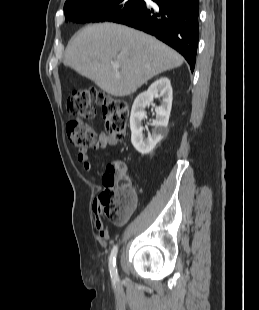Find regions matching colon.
<instances>
[{"label":"colon","mask_w":259,"mask_h":310,"mask_svg":"<svg viewBox=\"0 0 259 310\" xmlns=\"http://www.w3.org/2000/svg\"><path fill=\"white\" fill-rule=\"evenodd\" d=\"M98 106L102 109L107 134L115 139H121L125 135L129 116L128 103L93 88H81L73 91L67 101L69 119L66 131L73 145L85 148L98 144V136L89 122L95 116ZM102 181L104 189L96 199V206L105 219L121 225L137 202L124 165L120 162L109 164Z\"/></svg>","instance_id":"5ec220e1"}]
</instances>
